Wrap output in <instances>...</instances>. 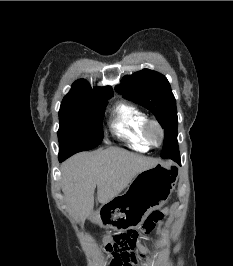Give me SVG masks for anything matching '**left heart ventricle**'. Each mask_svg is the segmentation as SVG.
<instances>
[{"instance_id":"1","label":"left heart ventricle","mask_w":233,"mask_h":266,"mask_svg":"<svg viewBox=\"0 0 233 266\" xmlns=\"http://www.w3.org/2000/svg\"><path fill=\"white\" fill-rule=\"evenodd\" d=\"M151 138L154 142H158L159 141V138H160V134H159V131L157 129H152L151 131Z\"/></svg>"}]
</instances>
